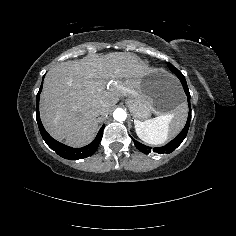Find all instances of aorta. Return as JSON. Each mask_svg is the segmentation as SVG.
<instances>
[{
	"instance_id": "obj_1",
	"label": "aorta",
	"mask_w": 236,
	"mask_h": 236,
	"mask_svg": "<svg viewBox=\"0 0 236 236\" xmlns=\"http://www.w3.org/2000/svg\"><path fill=\"white\" fill-rule=\"evenodd\" d=\"M113 117L116 121L121 122V121L126 120L127 113L123 109L117 108L113 113Z\"/></svg>"
}]
</instances>
